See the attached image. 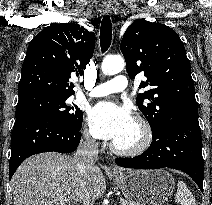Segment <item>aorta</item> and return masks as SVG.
<instances>
[{"label": "aorta", "instance_id": "obj_1", "mask_svg": "<svg viewBox=\"0 0 212 205\" xmlns=\"http://www.w3.org/2000/svg\"><path fill=\"white\" fill-rule=\"evenodd\" d=\"M125 66V61L121 56H107L103 59L101 70L104 75H114L120 73Z\"/></svg>", "mask_w": 212, "mask_h": 205}]
</instances>
